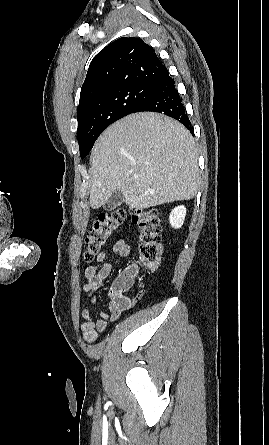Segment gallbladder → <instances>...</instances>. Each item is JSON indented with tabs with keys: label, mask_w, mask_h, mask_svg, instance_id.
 <instances>
[{
	"label": "gallbladder",
	"mask_w": 269,
	"mask_h": 445,
	"mask_svg": "<svg viewBox=\"0 0 269 445\" xmlns=\"http://www.w3.org/2000/svg\"><path fill=\"white\" fill-rule=\"evenodd\" d=\"M124 202L123 193L120 190H116L112 193L109 199L103 205V208L107 211H112L116 207L120 206Z\"/></svg>",
	"instance_id": "bac80fb5"
}]
</instances>
